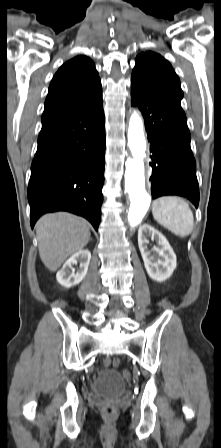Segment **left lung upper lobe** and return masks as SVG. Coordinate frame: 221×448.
<instances>
[{"label": "left lung upper lobe", "mask_w": 221, "mask_h": 448, "mask_svg": "<svg viewBox=\"0 0 221 448\" xmlns=\"http://www.w3.org/2000/svg\"><path fill=\"white\" fill-rule=\"evenodd\" d=\"M131 91L160 104L186 121L180 102V80L170 63L161 55L148 51L137 55L132 72Z\"/></svg>", "instance_id": "5c2ea615"}]
</instances>
